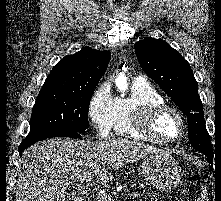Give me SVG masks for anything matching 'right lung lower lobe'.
Instances as JSON below:
<instances>
[{
  "label": "right lung lower lobe",
  "instance_id": "98d812e1",
  "mask_svg": "<svg viewBox=\"0 0 221 201\" xmlns=\"http://www.w3.org/2000/svg\"><path fill=\"white\" fill-rule=\"evenodd\" d=\"M70 137V138H79L80 135L78 132L66 131V130H47L34 135H28L20 144L18 151L20 156L22 155L23 150L28 148L30 145L51 137Z\"/></svg>",
  "mask_w": 221,
  "mask_h": 201
}]
</instances>
